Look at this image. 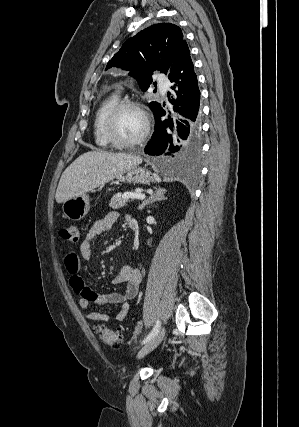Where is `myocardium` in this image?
I'll use <instances>...</instances> for the list:
<instances>
[{"mask_svg":"<svg viewBox=\"0 0 299 427\" xmlns=\"http://www.w3.org/2000/svg\"><path fill=\"white\" fill-rule=\"evenodd\" d=\"M126 108H132L137 110L143 117L144 120V129L142 133L133 140H123L121 139L115 130V121L118 116V114ZM104 133L107 138V140L115 147L118 148H131L134 146H137L144 142L146 138L148 137L150 133V120L148 118V115L146 114L145 110L142 108V106L135 101L132 100H121L118 103H116L111 110L108 112L105 122H104Z\"/></svg>","mask_w":299,"mask_h":427,"instance_id":"obj_1","label":"myocardium"}]
</instances>
